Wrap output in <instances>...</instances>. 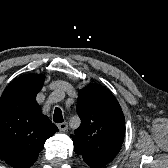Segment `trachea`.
<instances>
[{
  "label": "trachea",
  "mask_w": 168,
  "mask_h": 168,
  "mask_svg": "<svg viewBox=\"0 0 168 168\" xmlns=\"http://www.w3.org/2000/svg\"><path fill=\"white\" fill-rule=\"evenodd\" d=\"M53 121L56 123H62L64 121L62 111L60 108H55L54 115H53Z\"/></svg>",
  "instance_id": "obj_1"
}]
</instances>
